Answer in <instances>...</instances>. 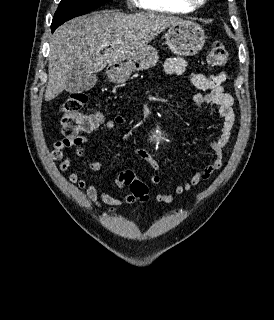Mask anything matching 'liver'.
<instances>
[{
	"instance_id": "1",
	"label": "liver",
	"mask_w": 274,
	"mask_h": 320,
	"mask_svg": "<svg viewBox=\"0 0 274 320\" xmlns=\"http://www.w3.org/2000/svg\"><path fill=\"white\" fill-rule=\"evenodd\" d=\"M180 20L155 12L122 14L119 10H103L66 22L50 40L46 102L54 100L63 90L71 92L72 80L78 74H96L106 64L136 58L155 36ZM103 48L106 50L100 54Z\"/></svg>"
}]
</instances>
